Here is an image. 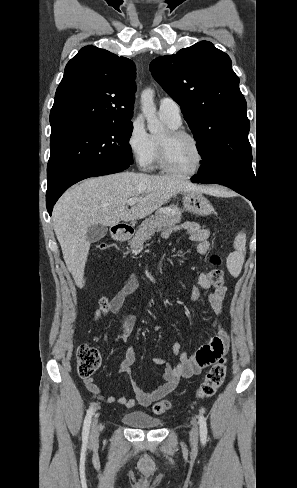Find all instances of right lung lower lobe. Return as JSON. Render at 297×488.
<instances>
[{
    "label": "right lung lower lobe",
    "instance_id": "obj_1",
    "mask_svg": "<svg viewBox=\"0 0 297 488\" xmlns=\"http://www.w3.org/2000/svg\"><path fill=\"white\" fill-rule=\"evenodd\" d=\"M129 166L130 165H107V166L93 167L74 175L73 177L63 182L54 191L46 194V207L48 213L51 216L54 204L56 203L58 198L63 194V192L71 185L89 177L117 173L127 169Z\"/></svg>",
    "mask_w": 297,
    "mask_h": 488
}]
</instances>
